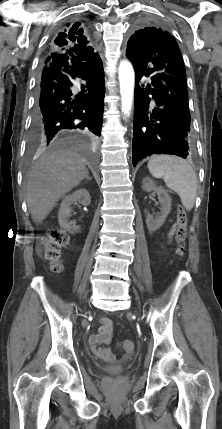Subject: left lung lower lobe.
<instances>
[{
  "label": "left lung lower lobe",
  "mask_w": 222,
  "mask_h": 429,
  "mask_svg": "<svg viewBox=\"0 0 222 429\" xmlns=\"http://www.w3.org/2000/svg\"><path fill=\"white\" fill-rule=\"evenodd\" d=\"M136 72L133 165L152 154L184 159L191 148L186 71L178 44L170 33L161 41L127 47ZM148 83L139 85L141 79Z\"/></svg>",
  "instance_id": "0a47b994"
}]
</instances>
